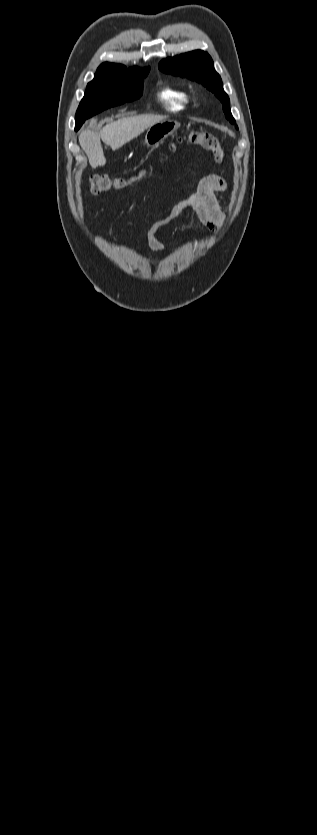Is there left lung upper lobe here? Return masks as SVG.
<instances>
[{
    "mask_svg": "<svg viewBox=\"0 0 317 835\" xmlns=\"http://www.w3.org/2000/svg\"><path fill=\"white\" fill-rule=\"evenodd\" d=\"M159 68L165 73L187 77L202 83L223 103L226 118L232 124L236 123L230 111L229 97L223 90L222 80L215 71L213 61L207 52L194 50L168 58L159 64Z\"/></svg>",
    "mask_w": 317,
    "mask_h": 835,
    "instance_id": "5c2ea615",
    "label": "left lung upper lobe"
}]
</instances>
